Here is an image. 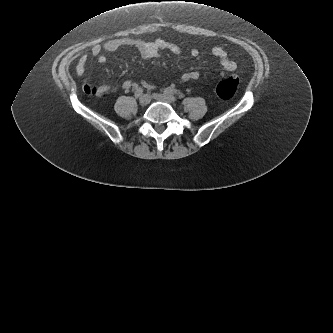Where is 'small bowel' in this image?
I'll return each instance as SVG.
<instances>
[{
    "label": "small bowel",
    "mask_w": 333,
    "mask_h": 333,
    "mask_svg": "<svg viewBox=\"0 0 333 333\" xmlns=\"http://www.w3.org/2000/svg\"><path fill=\"white\" fill-rule=\"evenodd\" d=\"M133 46L138 49L141 56L145 59L155 58L159 55L161 50H168L175 55L181 54V49L176 44L167 42L165 40H155L153 42H145L138 39L130 38H116L106 41L103 44H95L91 47L90 53L99 62H106L105 52H113L123 47ZM192 57H197L199 52L197 49H192L190 51ZM212 54L216 57L220 63V66L226 71H234L236 69V63L230 60L227 56L226 51L221 47H215L212 50ZM87 68V55L83 54L77 63L76 74L82 76ZM200 77V73L196 70L186 72L181 75V82H188L192 80H197ZM142 85L147 89H153L154 86L142 82ZM122 87L126 90L137 88L138 85L132 81H125ZM116 88H113L110 84H103L100 86H93L91 84H84L83 91L87 94H97L100 96H106L109 92H114Z\"/></svg>",
    "instance_id": "small-bowel-1"
}]
</instances>
